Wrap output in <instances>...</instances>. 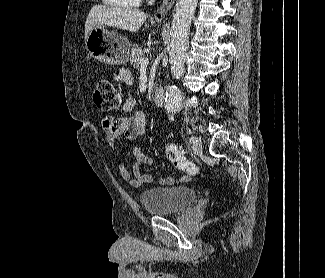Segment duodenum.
<instances>
[{
	"instance_id": "410a0bca",
	"label": "duodenum",
	"mask_w": 325,
	"mask_h": 278,
	"mask_svg": "<svg viewBox=\"0 0 325 278\" xmlns=\"http://www.w3.org/2000/svg\"><path fill=\"white\" fill-rule=\"evenodd\" d=\"M153 100L157 107H162L164 105L165 95L160 86H157L153 91Z\"/></svg>"
}]
</instances>
